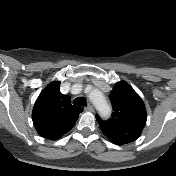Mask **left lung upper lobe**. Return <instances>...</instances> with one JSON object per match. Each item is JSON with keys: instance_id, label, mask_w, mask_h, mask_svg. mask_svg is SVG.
Segmentation results:
<instances>
[{"instance_id": "obj_1", "label": "left lung upper lobe", "mask_w": 176, "mask_h": 176, "mask_svg": "<svg viewBox=\"0 0 176 176\" xmlns=\"http://www.w3.org/2000/svg\"><path fill=\"white\" fill-rule=\"evenodd\" d=\"M114 112L108 121L96 119L105 136L116 145L135 141L141 134L147 120L142 99L124 81L115 84L110 93Z\"/></svg>"}]
</instances>
